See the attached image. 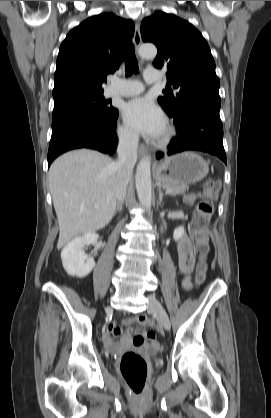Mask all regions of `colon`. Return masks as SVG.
Segmentation results:
<instances>
[{
  "instance_id": "5ec220e1",
  "label": "colon",
  "mask_w": 271,
  "mask_h": 418,
  "mask_svg": "<svg viewBox=\"0 0 271 418\" xmlns=\"http://www.w3.org/2000/svg\"><path fill=\"white\" fill-rule=\"evenodd\" d=\"M219 188L220 184L216 181L206 183L203 189L204 197L198 201L192 221L193 240L200 257L196 275L198 284L204 282L208 268L207 255L209 246L206 229L214 212L211 200L216 197ZM186 200L188 203H192L196 200V196L189 195ZM139 321L144 325L152 326V322L145 316H140ZM146 336L154 338L155 334L152 330H149L146 332ZM120 371L130 390L135 395H140L146 386L148 375L147 361L135 352H126L120 361Z\"/></svg>"
}]
</instances>
